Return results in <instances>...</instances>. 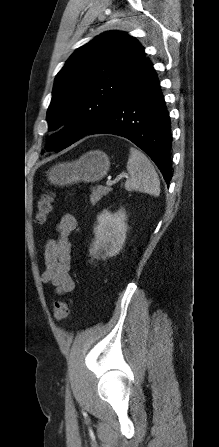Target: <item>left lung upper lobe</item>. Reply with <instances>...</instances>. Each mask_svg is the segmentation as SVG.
Instances as JSON below:
<instances>
[{
    "mask_svg": "<svg viewBox=\"0 0 219 447\" xmlns=\"http://www.w3.org/2000/svg\"><path fill=\"white\" fill-rule=\"evenodd\" d=\"M145 60L124 32L104 33L78 48L57 74L47 111L48 130L68 126L49 141L64 149L86 136L130 84Z\"/></svg>",
    "mask_w": 219,
    "mask_h": 447,
    "instance_id": "1",
    "label": "left lung upper lobe"
}]
</instances>
